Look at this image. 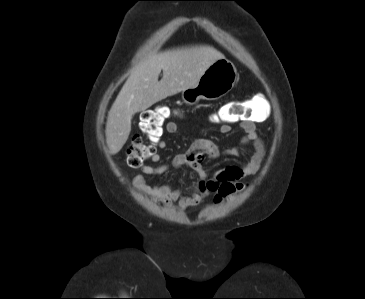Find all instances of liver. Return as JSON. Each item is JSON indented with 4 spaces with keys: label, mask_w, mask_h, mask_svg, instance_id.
Listing matches in <instances>:
<instances>
[{
    "label": "liver",
    "mask_w": 365,
    "mask_h": 299,
    "mask_svg": "<svg viewBox=\"0 0 365 299\" xmlns=\"http://www.w3.org/2000/svg\"><path fill=\"white\" fill-rule=\"evenodd\" d=\"M224 55L210 46L165 51L149 56L131 72L109 113L106 142L117 154L131 131L132 116L153 104L195 86L205 70ZM163 71V77H158Z\"/></svg>",
    "instance_id": "1"
}]
</instances>
